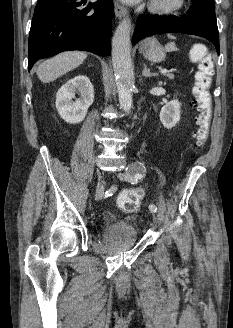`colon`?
Segmentation results:
<instances>
[{"mask_svg":"<svg viewBox=\"0 0 233 328\" xmlns=\"http://www.w3.org/2000/svg\"><path fill=\"white\" fill-rule=\"evenodd\" d=\"M194 59L199 61L192 89V107L197 112L196 128L192 133L191 147L202 148L209 135L212 118V100L210 86L214 75L212 54L207 49H195L192 52ZM144 193L140 189L124 191L118 198V206L126 213L135 212L143 199Z\"/></svg>","mask_w":233,"mask_h":328,"instance_id":"colon-1","label":"colon"}]
</instances>
